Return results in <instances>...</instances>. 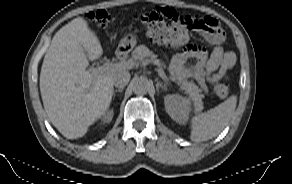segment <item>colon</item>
<instances>
[{
    "label": "colon",
    "mask_w": 292,
    "mask_h": 184,
    "mask_svg": "<svg viewBox=\"0 0 292 184\" xmlns=\"http://www.w3.org/2000/svg\"><path fill=\"white\" fill-rule=\"evenodd\" d=\"M88 18L101 28H108L115 21L114 17L104 10L91 12ZM136 18L143 24L151 41L175 48L187 42L184 29H195L205 24L203 17L182 14L169 7L139 13ZM214 91L219 98L224 99L229 95V86L217 80Z\"/></svg>",
    "instance_id": "1"
}]
</instances>
